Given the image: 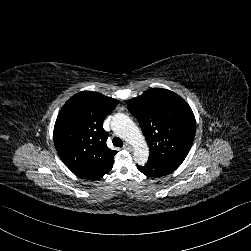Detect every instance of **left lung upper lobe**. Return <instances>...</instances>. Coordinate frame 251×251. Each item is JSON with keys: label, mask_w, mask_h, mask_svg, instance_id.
<instances>
[{"label": "left lung upper lobe", "mask_w": 251, "mask_h": 251, "mask_svg": "<svg viewBox=\"0 0 251 251\" xmlns=\"http://www.w3.org/2000/svg\"><path fill=\"white\" fill-rule=\"evenodd\" d=\"M150 148L149 159L177 165L188 155L196 131L194 114L174 92L153 88L127 102Z\"/></svg>", "instance_id": "left-lung-upper-lobe-1"}]
</instances>
